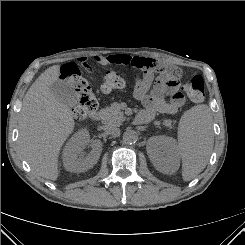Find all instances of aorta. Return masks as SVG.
<instances>
[{"label": "aorta", "mask_w": 245, "mask_h": 245, "mask_svg": "<svg viewBox=\"0 0 245 245\" xmlns=\"http://www.w3.org/2000/svg\"><path fill=\"white\" fill-rule=\"evenodd\" d=\"M138 140V133L135 130H127L123 134V141L126 144H134Z\"/></svg>", "instance_id": "obj_1"}]
</instances>
